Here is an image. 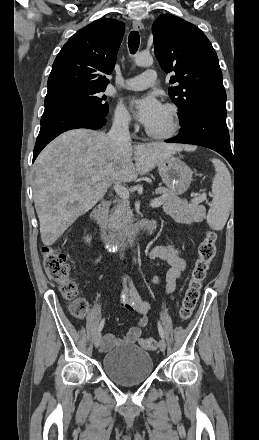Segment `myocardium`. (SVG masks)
Here are the masks:
<instances>
[{
    "instance_id": "obj_1",
    "label": "myocardium",
    "mask_w": 259,
    "mask_h": 440,
    "mask_svg": "<svg viewBox=\"0 0 259 440\" xmlns=\"http://www.w3.org/2000/svg\"><path fill=\"white\" fill-rule=\"evenodd\" d=\"M164 109L167 111L169 116V126L163 132H155L150 130L148 127L145 128V132L148 136L154 139L164 140L172 138L176 135L180 127L179 112L176 105L171 103H166Z\"/></svg>"
}]
</instances>
